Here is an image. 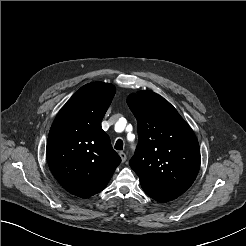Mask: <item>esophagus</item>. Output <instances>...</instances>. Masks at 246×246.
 Listing matches in <instances>:
<instances>
[{
	"label": "esophagus",
	"mask_w": 246,
	"mask_h": 246,
	"mask_svg": "<svg viewBox=\"0 0 246 246\" xmlns=\"http://www.w3.org/2000/svg\"><path fill=\"white\" fill-rule=\"evenodd\" d=\"M119 156H120L122 162H125L126 161L127 156H126V154L124 152H122V151L119 152Z\"/></svg>",
	"instance_id": "obj_1"
}]
</instances>
